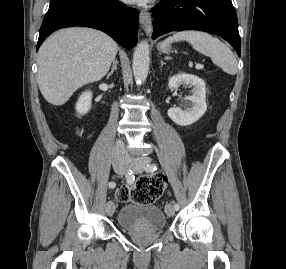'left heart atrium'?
Listing matches in <instances>:
<instances>
[{
    "label": "left heart atrium",
    "mask_w": 286,
    "mask_h": 269,
    "mask_svg": "<svg viewBox=\"0 0 286 269\" xmlns=\"http://www.w3.org/2000/svg\"><path fill=\"white\" fill-rule=\"evenodd\" d=\"M123 1L126 3L143 5V4L150 2L151 0H123Z\"/></svg>",
    "instance_id": "39dd6f15"
}]
</instances>
